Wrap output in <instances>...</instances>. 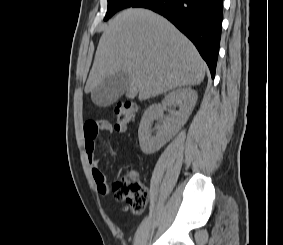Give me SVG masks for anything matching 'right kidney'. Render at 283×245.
Segmentation results:
<instances>
[{
    "mask_svg": "<svg viewBox=\"0 0 283 245\" xmlns=\"http://www.w3.org/2000/svg\"><path fill=\"white\" fill-rule=\"evenodd\" d=\"M197 93L191 88H178L165 96L161 103L150 105L143 114L138 130L140 148L145 154L158 151L180 130L191 115ZM179 108L176 110V108ZM168 110L170 118L152 129L155 120L161 119ZM153 132H155L153 134Z\"/></svg>",
    "mask_w": 283,
    "mask_h": 245,
    "instance_id": "1",
    "label": "right kidney"
}]
</instances>
